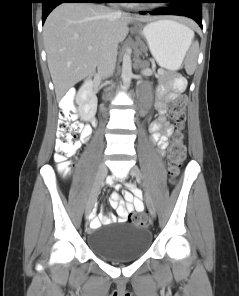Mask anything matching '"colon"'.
Masks as SVG:
<instances>
[{
	"instance_id": "obj_1",
	"label": "colon",
	"mask_w": 239,
	"mask_h": 296,
	"mask_svg": "<svg viewBox=\"0 0 239 296\" xmlns=\"http://www.w3.org/2000/svg\"><path fill=\"white\" fill-rule=\"evenodd\" d=\"M167 114L175 127L169 150V173L172 178H175L180 171L186 154L181 132L186 115V98L180 96L174 100L169 105ZM80 131L81 125L74 119L72 103H63L59 112L57 153L55 155L58 168L63 173H66L69 168L68 158L75 153L79 146ZM131 221L139 226H146L149 223V217L146 212H140L132 215Z\"/></svg>"
}]
</instances>
